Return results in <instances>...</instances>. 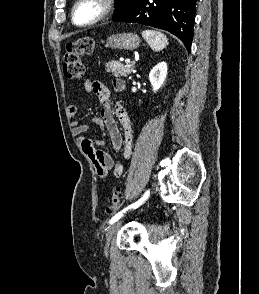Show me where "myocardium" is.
Masks as SVG:
<instances>
[{"instance_id": "obj_1", "label": "myocardium", "mask_w": 259, "mask_h": 294, "mask_svg": "<svg viewBox=\"0 0 259 294\" xmlns=\"http://www.w3.org/2000/svg\"><path fill=\"white\" fill-rule=\"evenodd\" d=\"M85 0H77L71 10V21L74 25L78 27H90L93 26L104 19H106L114 10L115 8V0H97L101 5V11L99 15L94 18L91 21H88L86 23H78L76 21V13L79 6L84 2Z\"/></svg>"}]
</instances>
